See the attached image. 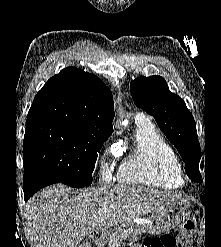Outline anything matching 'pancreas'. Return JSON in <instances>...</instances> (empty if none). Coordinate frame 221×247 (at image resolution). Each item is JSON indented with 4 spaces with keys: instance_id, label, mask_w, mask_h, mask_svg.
Masks as SVG:
<instances>
[{
    "instance_id": "1",
    "label": "pancreas",
    "mask_w": 221,
    "mask_h": 247,
    "mask_svg": "<svg viewBox=\"0 0 221 247\" xmlns=\"http://www.w3.org/2000/svg\"><path fill=\"white\" fill-rule=\"evenodd\" d=\"M148 226V225H147ZM145 224L126 223L113 234V239L109 242L108 247H120V244L130 238L133 234H142L146 231Z\"/></svg>"
}]
</instances>
